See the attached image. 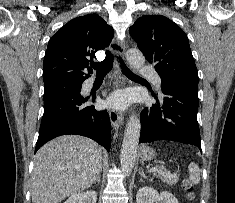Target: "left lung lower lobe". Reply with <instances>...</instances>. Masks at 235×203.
I'll return each instance as SVG.
<instances>
[{
	"label": "left lung lower lobe",
	"instance_id": "1",
	"mask_svg": "<svg viewBox=\"0 0 235 203\" xmlns=\"http://www.w3.org/2000/svg\"><path fill=\"white\" fill-rule=\"evenodd\" d=\"M164 97L141 113L140 142L172 140L201 149L197 122L198 89L182 85H163Z\"/></svg>",
	"mask_w": 235,
	"mask_h": 203
}]
</instances>
